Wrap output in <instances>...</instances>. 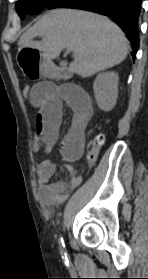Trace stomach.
Masks as SVG:
<instances>
[{"mask_svg": "<svg viewBox=\"0 0 148 279\" xmlns=\"http://www.w3.org/2000/svg\"><path fill=\"white\" fill-rule=\"evenodd\" d=\"M15 59L27 82H54L53 65L44 50H16Z\"/></svg>", "mask_w": 148, "mask_h": 279, "instance_id": "obj_1", "label": "stomach"}]
</instances>
